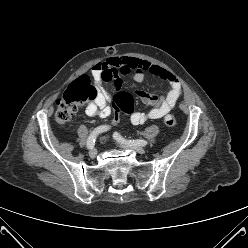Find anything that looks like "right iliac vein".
<instances>
[{
  "label": "right iliac vein",
  "mask_w": 248,
  "mask_h": 248,
  "mask_svg": "<svg viewBox=\"0 0 248 248\" xmlns=\"http://www.w3.org/2000/svg\"><path fill=\"white\" fill-rule=\"evenodd\" d=\"M96 155H97V150L96 149H92V150L89 151V156L91 158H95Z\"/></svg>",
  "instance_id": "63e3f726"
}]
</instances>
